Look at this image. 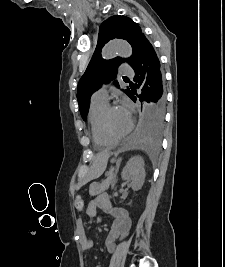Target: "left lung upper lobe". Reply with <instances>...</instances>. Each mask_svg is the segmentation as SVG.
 <instances>
[{
  "mask_svg": "<svg viewBox=\"0 0 225 267\" xmlns=\"http://www.w3.org/2000/svg\"><path fill=\"white\" fill-rule=\"evenodd\" d=\"M143 37L144 34L141 32L140 27L132 19L125 16L115 15L109 17L101 24L95 52L78 83L77 99L83 120L86 119L89 110L91 95L101 87L103 82L115 79L117 67L125 61L120 57H116L112 60H104L101 57V49L103 46L112 39L119 38L127 40L133 48V53L130 58L126 59V62L132 66L137 57ZM114 82L118 86V82ZM124 92L129 95L130 89L127 88ZM164 112L165 110H161L157 106L150 109V129L155 135H158L162 130Z\"/></svg>",
  "mask_w": 225,
  "mask_h": 267,
  "instance_id": "1",
  "label": "left lung upper lobe"
}]
</instances>
